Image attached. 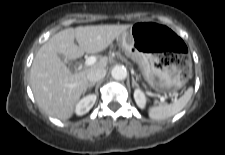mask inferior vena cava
<instances>
[{
  "mask_svg": "<svg viewBox=\"0 0 225 155\" xmlns=\"http://www.w3.org/2000/svg\"><path fill=\"white\" fill-rule=\"evenodd\" d=\"M106 75V70L103 67L93 68L89 71L87 75V79L90 83H95L101 79H103Z\"/></svg>",
  "mask_w": 225,
  "mask_h": 155,
  "instance_id": "obj_1",
  "label": "inferior vena cava"
}]
</instances>
